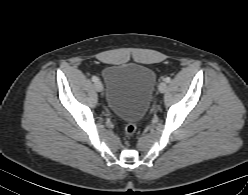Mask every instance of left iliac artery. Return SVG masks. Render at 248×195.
Returning <instances> with one entry per match:
<instances>
[{"label":"left iliac artery","instance_id":"44dca946","mask_svg":"<svg viewBox=\"0 0 248 195\" xmlns=\"http://www.w3.org/2000/svg\"><path fill=\"white\" fill-rule=\"evenodd\" d=\"M165 81H166L167 83H169V82L171 81L170 77H166V78H165Z\"/></svg>","mask_w":248,"mask_h":195}]
</instances>
